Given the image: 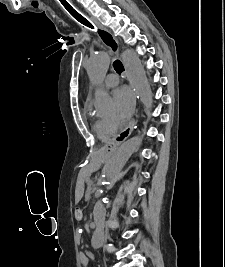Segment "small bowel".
<instances>
[{"mask_svg": "<svg viewBox=\"0 0 225 267\" xmlns=\"http://www.w3.org/2000/svg\"><path fill=\"white\" fill-rule=\"evenodd\" d=\"M79 259H80L81 264L84 267H87V265H88V258H87V256L84 253H80Z\"/></svg>", "mask_w": 225, "mask_h": 267, "instance_id": "obj_1", "label": "small bowel"}]
</instances>
